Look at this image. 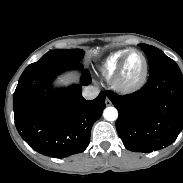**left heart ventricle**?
<instances>
[{
  "mask_svg": "<svg viewBox=\"0 0 183 183\" xmlns=\"http://www.w3.org/2000/svg\"><path fill=\"white\" fill-rule=\"evenodd\" d=\"M142 70V59L141 57L133 53L131 54L126 62L123 77L127 81L135 80Z\"/></svg>",
  "mask_w": 183,
  "mask_h": 183,
  "instance_id": "1",
  "label": "left heart ventricle"
}]
</instances>
